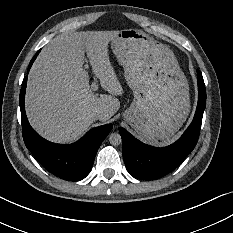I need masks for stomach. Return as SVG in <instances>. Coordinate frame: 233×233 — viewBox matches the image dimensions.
I'll return each instance as SVG.
<instances>
[{"label": "stomach", "mask_w": 233, "mask_h": 233, "mask_svg": "<svg viewBox=\"0 0 233 233\" xmlns=\"http://www.w3.org/2000/svg\"><path fill=\"white\" fill-rule=\"evenodd\" d=\"M111 49L134 99L124 120L146 141L169 142L189 114V85L174 53L140 29H123Z\"/></svg>", "instance_id": "obj_1"}]
</instances>
